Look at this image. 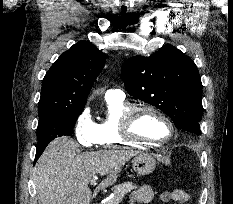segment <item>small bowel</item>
Here are the masks:
<instances>
[{
	"instance_id": "obj_1",
	"label": "small bowel",
	"mask_w": 233,
	"mask_h": 204,
	"mask_svg": "<svg viewBox=\"0 0 233 204\" xmlns=\"http://www.w3.org/2000/svg\"><path fill=\"white\" fill-rule=\"evenodd\" d=\"M154 190L150 186H141L139 189L133 192L131 196V204H145L150 202L154 198ZM176 199L175 203L185 204L188 201V194L181 190H175Z\"/></svg>"
}]
</instances>
